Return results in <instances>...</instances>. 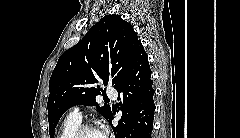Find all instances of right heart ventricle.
I'll list each match as a JSON object with an SVG mask.
<instances>
[{"instance_id":"e07e8e85","label":"right heart ventricle","mask_w":240,"mask_h":138,"mask_svg":"<svg viewBox=\"0 0 240 138\" xmlns=\"http://www.w3.org/2000/svg\"><path fill=\"white\" fill-rule=\"evenodd\" d=\"M80 122L79 119L68 117L60 129L58 138H69L72 132L80 125Z\"/></svg>"}]
</instances>
